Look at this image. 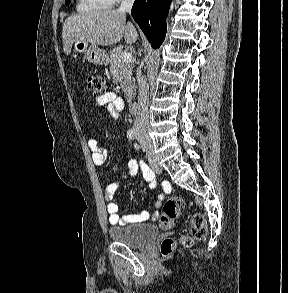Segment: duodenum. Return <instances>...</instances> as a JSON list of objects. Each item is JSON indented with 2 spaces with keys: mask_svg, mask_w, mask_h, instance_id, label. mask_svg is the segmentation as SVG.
<instances>
[{
  "mask_svg": "<svg viewBox=\"0 0 288 293\" xmlns=\"http://www.w3.org/2000/svg\"><path fill=\"white\" fill-rule=\"evenodd\" d=\"M129 110L131 113H136L138 111V103L134 99L129 100Z\"/></svg>",
  "mask_w": 288,
  "mask_h": 293,
  "instance_id": "410a0bca",
  "label": "duodenum"
}]
</instances>
